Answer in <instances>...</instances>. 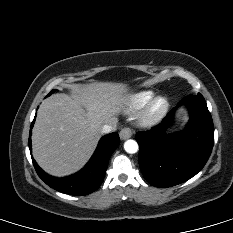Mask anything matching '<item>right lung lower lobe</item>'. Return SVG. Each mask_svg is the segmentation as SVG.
I'll return each instance as SVG.
<instances>
[{"label": "right lung lower lobe", "mask_w": 233, "mask_h": 233, "mask_svg": "<svg viewBox=\"0 0 233 233\" xmlns=\"http://www.w3.org/2000/svg\"><path fill=\"white\" fill-rule=\"evenodd\" d=\"M35 118L31 124L33 127ZM31 136V130H30ZM29 136V148L31 152V138ZM120 143L118 133L113 132L101 138L92 158L78 173L56 178L45 173L33 160L38 176L50 187L62 193L83 196L95 191L102 183L107 169L108 161Z\"/></svg>", "instance_id": "right-lung-lower-lobe-1"}]
</instances>
